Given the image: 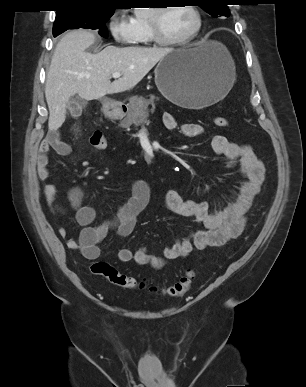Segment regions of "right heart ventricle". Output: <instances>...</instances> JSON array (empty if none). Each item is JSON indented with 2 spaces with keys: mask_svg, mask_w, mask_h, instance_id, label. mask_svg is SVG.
I'll list each match as a JSON object with an SVG mask.
<instances>
[{
  "mask_svg": "<svg viewBox=\"0 0 306 387\" xmlns=\"http://www.w3.org/2000/svg\"><path fill=\"white\" fill-rule=\"evenodd\" d=\"M130 23L133 27L132 43L138 46L151 45L153 41L148 27V13H136Z\"/></svg>",
  "mask_w": 306,
  "mask_h": 387,
  "instance_id": "e07e8e85",
  "label": "right heart ventricle"
}]
</instances>
